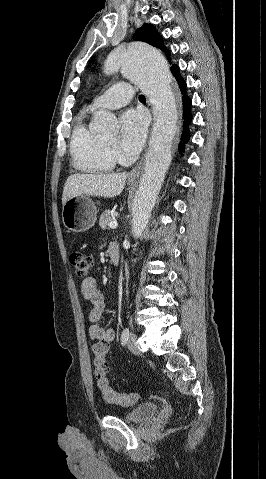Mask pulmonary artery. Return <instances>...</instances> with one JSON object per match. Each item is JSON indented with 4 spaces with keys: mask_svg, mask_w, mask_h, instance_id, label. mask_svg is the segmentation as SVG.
Returning <instances> with one entry per match:
<instances>
[{
    "mask_svg": "<svg viewBox=\"0 0 266 479\" xmlns=\"http://www.w3.org/2000/svg\"><path fill=\"white\" fill-rule=\"evenodd\" d=\"M134 89L126 82H118L97 96L90 108L96 109H118L125 106L133 97Z\"/></svg>",
    "mask_w": 266,
    "mask_h": 479,
    "instance_id": "pulmonary-artery-1",
    "label": "pulmonary artery"
}]
</instances>
